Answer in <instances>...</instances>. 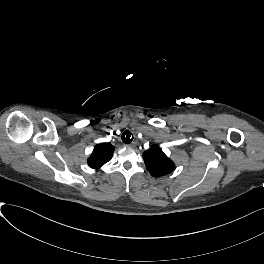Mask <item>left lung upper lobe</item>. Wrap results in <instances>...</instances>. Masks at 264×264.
Returning <instances> with one entry per match:
<instances>
[{
    "instance_id": "1",
    "label": "left lung upper lobe",
    "mask_w": 264,
    "mask_h": 264,
    "mask_svg": "<svg viewBox=\"0 0 264 264\" xmlns=\"http://www.w3.org/2000/svg\"><path fill=\"white\" fill-rule=\"evenodd\" d=\"M143 158L147 170L154 177L167 175L175 169L173 161L157 145H153L149 150L145 151Z\"/></svg>"
}]
</instances>
